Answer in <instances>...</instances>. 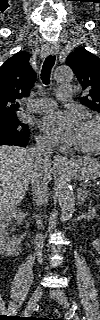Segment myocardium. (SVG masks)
<instances>
[{"label":"myocardium","mask_w":100,"mask_h":320,"mask_svg":"<svg viewBox=\"0 0 100 320\" xmlns=\"http://www.w3.org/2000/svg\"><path fill=\"white\" fill-rule=\"evenodd\" d=\"M83 122L91 124L94 127L95 133H96L95 141L90 146H86V147L75 146L74 150L80 153H93L99 150L100 148V122L98 118L94 116L85 117Z\"/></svg>","instance_id":"1"}]
</instances>
